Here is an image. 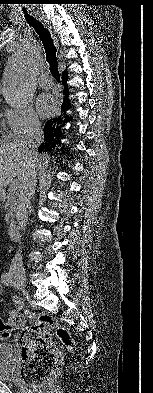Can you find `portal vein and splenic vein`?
<instances>
[{"label":"portal vein and splenic vein","instance_id":"obj_1","mask_svg":"<svg viewBox=\"0 0 153 393\" xmlns=\"http://www.w3.org/2000/svg\"><path fill=\"white\" fill-rule=\"evenodd\" d=\"M22 185H19L17 182L14 183L11 187L12 191H17L19 188H21Z\"/></svg>","mask_w":153,"mask_h":393}]
</instances>
